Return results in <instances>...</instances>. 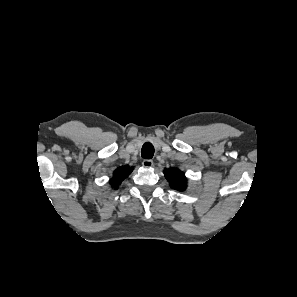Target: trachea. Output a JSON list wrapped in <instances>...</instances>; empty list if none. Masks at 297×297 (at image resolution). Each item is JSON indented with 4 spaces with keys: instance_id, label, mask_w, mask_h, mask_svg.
Wrapping results in <instances>:
<instances>
[{
    "instance_id": "1",
    "label": "trachea",
    "mask_w": 297,
    "mask_h": 297,
    "mask_svg": "<svg viewBox=\"0 0 297 297\" xmlns=\"http://www.w3.org/2000/svg\"><path fill=\"white\" fill-rule=\"evenodd\" d=\"M154 155V147L152 144L150 143H145L142 146V150H141V156L144 159H151Z\"/></svg>"
}]
</instances>
